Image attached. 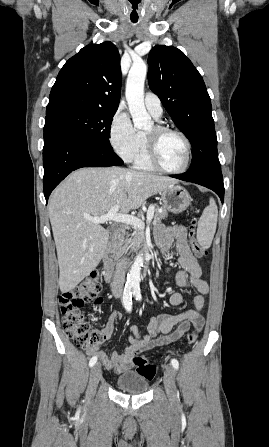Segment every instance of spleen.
<instances>
[{"label": "spleen", "instance_id": "3e777b00", "mask_svg": "<svg viewBox=\"0 0 269 447\" xmlns=\"http://www.w3.org/2000/svg\"><path fill=\"white\" fill-rule=\"evenodd\" d=\"M217 218L218 208L216 202L213 198H210L209 206L203 210V214L198 222L196 233L198 243L205 249H208L212 243L216 231Z\"/></svg>", "mask_w": 269, "mask_h": 447}]
</instances>
